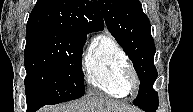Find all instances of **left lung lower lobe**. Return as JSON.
Masks as SVG:
<instances>
[{
	"instance_id": "1",
	"label": "left lung lower lobe",
	"mask_w": 193,
	"mask_h": 112,
	"mask_svg": "<svg viewBox=\"0 0 193 112\" xmlns=\"http://www.w3.org/2000/svg\"><path fill=\"white\" fill-rule=\"evenodd\" d=\"M158 107V100L155 102H151L148 105L141 106L140 108L146 112H155Z\"/></svg>"
}]
</instances>
